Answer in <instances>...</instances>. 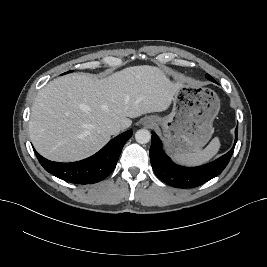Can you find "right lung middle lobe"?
Masks as SVG:
<instances>
[{"instance_id": "right-lung-middle-lobe-1", "label": "right lung middle lobe", "mask_w": 267, "mask_h": 267, "mask_svg": "<svg viewBox=\"0 0 267 267\" xmlns=\"http://www.w3.org/2000/svg\"><path fill=\"white\" fill-rule=\"evenodd\" d=\"M71 71H69V72H66V73H70ZM66 73H64V74H66Z\"/></svg>"}]
</instances>
